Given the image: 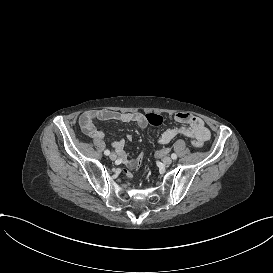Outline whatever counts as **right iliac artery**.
<instances>
[{
	"instance_id": "82829eb1",
	"label": "right iliac artery",
	"mask_w": 273,
	"mask_h": 273,
	"mask_svg": "<svg viewBox=\"0 0 273 273\" xmlns=\"http://www.w3.org/2000/svg\"><path fill=\"white\" fill-rule=\"evenodd\" d=\"M104 154L108 156L110 154V151L109 150H105Z\"/></svg>"
}]
</instances>
